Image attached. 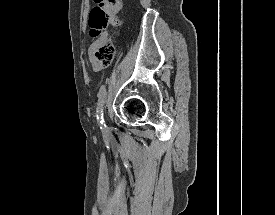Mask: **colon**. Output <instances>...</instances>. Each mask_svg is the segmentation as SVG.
<instances>
[{"mask_svg":"<svg viewBox=\"0 0 275 215\" xmlns=\"http://www.w3.org/2000/svg\"><path fill=\"white\" fill-rule=\"evenodd\" d=\"M95 2L96 7L92 9L89 16L90 34L99 39L95 59L98 65L108 66L112 62L114 49L103 29L110 23H119L114 16L119 0H95Z\"/></svg>","mask_w":275,"mask_h":215,"instance_id":"obj_1","label":"colon"}]
</instances>
